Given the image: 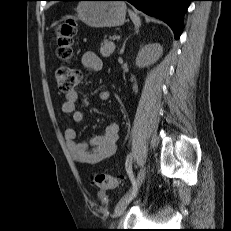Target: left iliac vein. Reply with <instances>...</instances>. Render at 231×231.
Here are the masks:
<instances>
[{
	"mask_svg": "<svg viewBox=\"0 0 231 231\" xmlns=\"http://www.w3.org/2000/svg\"><path fill=\"white\" fill-rule=\"evenodd\" d=\"M146 175V167L140 169L135 179V183L132 185L130 192L125 195L117 204L113 217L117 218L123 214L124 210L127 208L132 199L136 196L140 186L142 185Z\"/></svg>",
	"mask_w": 231,
	"mask_h": 231,
	"instance_id": "left-iliac-vein-1",
	"label": "left iliac vein"
}]
</instances>
